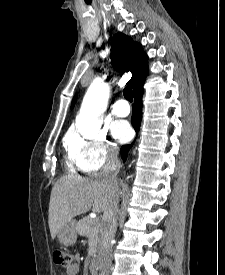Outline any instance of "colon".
<instances>
[{
    "mask_svg": "<svg viewBox=\"0 0 225 275\" xmlns=\"http://www.w3.org/2000/svg\"><path fill=\"white\" fill-rule=\"evenodd\" d=\"M73 259V254L64 250H56L53 253V261L58 266L67 268L72 265Z\"/></svg>",
    "mask_w": 225,
    "mask_h": 275,
    "instance_id": "colon-1",
    "label": "colon"
}]
</instances>
